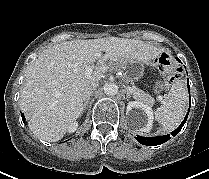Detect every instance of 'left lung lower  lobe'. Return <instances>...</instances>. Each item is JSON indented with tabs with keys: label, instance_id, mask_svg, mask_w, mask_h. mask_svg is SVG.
<instances>
[{
	"label": "left lung lower lobe",
	"instance_id": "0a47b994",
	"mask_svg": "<svg viewBox=\"0 0 209 179\" xmlns=\"http://www.w3.org/2000/svg\"><path fill=\"white\" fill-rule=\"evenodd\" d=\"M177 60L180 62V60L178 58H177ZM188 90L190 93L189 83H188ZM190 104H191V101H190ZM189 110H190V107L188 109V112H189ZM187 117H188V114L185 116L181 125L176 130L171 132V134L173 136H175L182 129L183 125L185 124V122L187 120ZM136 139L138 142H140L143 145L156 146V145H160V144H163L164 142L168 141L170 139V135L168 134V135H164V136H158L155 138H145V137H141V136L137 135Z\"/></svg>",
	"mask_w": 209,
	"mask_h": 179
}]
</instances>
